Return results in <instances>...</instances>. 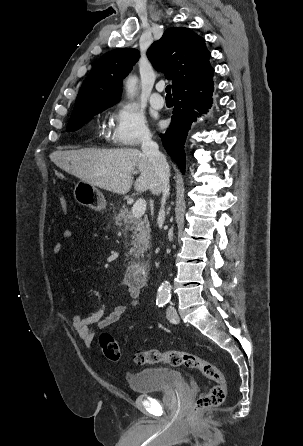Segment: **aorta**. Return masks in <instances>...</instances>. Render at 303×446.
<instances>
[{"mask_svg": "<svg viewBox=\"0 0 303 446\" xmlns=\"http://www.w3.org/2000/svg\"><path fill=\"white\" fill-rule=\"evenodd\" d=\"M137 77L130 76L126 81V93L128 97H133L137 89ZM171 285L165 281L162 282L158 289L157 299L161 301H167L170 297Z\"/></svg>", "mask_w": 303, "mask_h": 446, "instance_id": "762f6f07", "label": "aorta"}]
</instances>
